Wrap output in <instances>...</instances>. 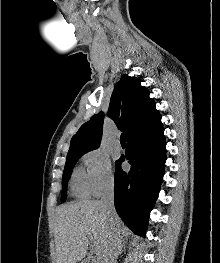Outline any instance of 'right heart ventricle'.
<instances>
[{
	"label": "right heart ventricle",
	"instance_id": "right-heart-ventricle-1",
	"mask_svg": "<svg viewBox=\"0 0 220 263\" xmlns=\"http://www.w3.org/2000/svg\"><path fill=\"white\" fill-rule=\"evenodd\" d=\"M70 189L73 196L85 199L91 195V190L86 172L82 168H77L71 177Z\"/></svg>",
	"mask_w": 220,
	"mask_h": 263
}]
</instances>
